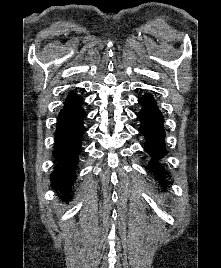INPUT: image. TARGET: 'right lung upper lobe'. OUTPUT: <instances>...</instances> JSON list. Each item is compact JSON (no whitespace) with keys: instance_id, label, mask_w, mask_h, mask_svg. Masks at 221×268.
<instances>
[{"instance_id":"obj_1","label":"right lung upper lobe","mask_w":221,"mask_h":268,"mask_svg":"<svg viewBox=\"0 0 221 268\" xmlns=\"http://www.w3.org/2000/svg\"><path fill=\"white\" fill-rule=\"evenodd\" d=\"M76 96H77V95H76L75 93L70 92L69 95H68V97H67V99H69V98H73V97H76Z\"/></svg>"}]
</instances>
